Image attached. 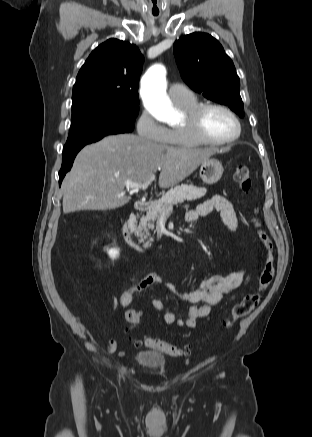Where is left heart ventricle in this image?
<instances>
[{
	"mask_svg": "<svg viewBox=\"0 0 312 437\" xmlns=\"http://www.w3.org/2000/svg\"><path fill=\"white\" fill-rule=\"evenodd\" d=\"M204 134L213 140H222L232 136L236 130L234 120L220 109L208 110L202 119Z\"/></svg>",
	"mask_w": 312,
	"mask_h": 437,
	"instance_id": "left-heart-ventricle-1",
	"label": "left heart ventricle"
}]
</instances>
